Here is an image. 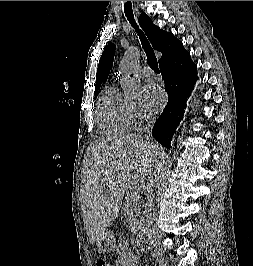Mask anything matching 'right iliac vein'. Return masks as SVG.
<instances>
[{"mask_svg": "<svg viewBox=\"0 0 253 266\" xmlns=\"http://www.w3.org/2000/svg\"><path fill=\"white\" fill-rule=\"evenodd\" d=\"M156 262L158 263V266H168L167 262L162 256H157L156 257Z\"/></svg>", "mask_w": 253, "mask_h": 266, "instance_id": "63e3f726", "label": "right iliac vein"}]
</instances>
